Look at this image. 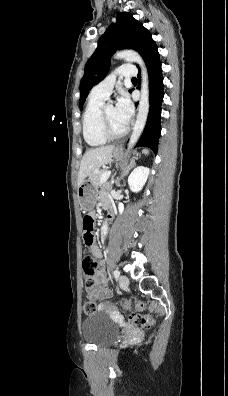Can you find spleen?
<instances>
[{
    "mask_svg": "<svg viewBox=\"0 0 228 396\" xmlns=\"http://www.w3.org/2000/svg\"><path fill=\"white\" fill-rule=\"evenodd\" d=\"M143 153L148 154L149 153L148 149H143Z\"/></svg>",
    "mask_w": 228,
    "mask_h": 396,
    "instance_id": "obj_1",
    "label": "spleen"
}]
</instances>
